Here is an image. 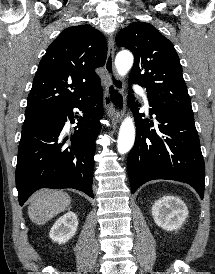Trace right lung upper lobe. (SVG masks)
<instances>
[{
	"label": "right lung upper lobe",
	"instance_id": "right-lung-upper-lobe-1",
	"mask_svg": "<svg viewBox=\"0 0 215 274\" xmlns=\"http://www.w3.org/2000/svg\"><path fill=\"white\" fill-rule=\"evenodd\" d=\"M107 45L95 28L85 24L64 29L39 63L28 96L27 111L59 110L87 96L105 64Z\"/></svg>",
	"mask_w": 215,
	"mask_h": 274
}]
</instances>
